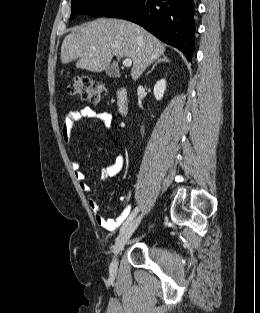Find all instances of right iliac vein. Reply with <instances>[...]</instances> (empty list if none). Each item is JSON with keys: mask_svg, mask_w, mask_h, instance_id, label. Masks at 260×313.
<instances>
[{"mask_svg": "<svg viewBox=\"0 0 260 313\" xmlns=\"http://www.w3.org/2000/svg\"><path fill=\"white\" fill-rule=\"evenodd\" d=\"M141 219H142V214L136 217L131 223H129L128 226L124 228L123 231L120 233V235L117 237L115 245H114V257L110 264V273L112 276H115L117 273V267H118L117 255L125 247L126 243L132 236L133 232L136 230V228L140 224Z\"/></svg>", "mask_w": 260, "mask_h": 313, "instance_id": "1", "label": "right iliac vein"}]
</instances>
